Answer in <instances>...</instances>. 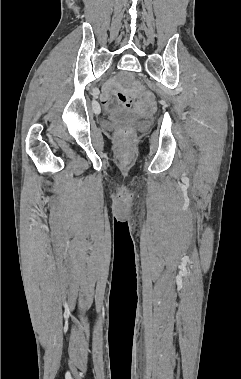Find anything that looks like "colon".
Listing matches in <instances>:
<instances>
[{
	"label": "colon",
	"instance_id": "obj_1",
	"mask_svg": "<svg viewBox=\"0 0 241 379\" xmlns=\"http://www.w3.org/2000/svg\"><path fill=\"white\" fill-rule=\"evenodd\" d=\"M118 100L124 107H130L132 110H140L141 112H148L152 108L151 98L142 97L140 103H132L131 98L125 93L117 94ZM132 129L130 127H123L118 131V135L121 138H128L132 135Z\"/></svg>",
	"mask_w": 241,
	"mask_h": 379
}]
</instances>
